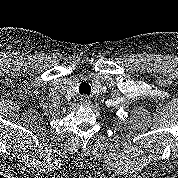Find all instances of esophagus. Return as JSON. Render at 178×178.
<instances>
[{
  "mask_svg": "<svg viewBox=\"0 0 178 178\" xmlns=\"http://www.w3.org/2000/svg\"><path fill=\"white\" fill-rule=\"evenodd\" d=\"M80 103H81L82 105H84V106H88V105H90L91 100H90V98H89L87 95H83V96H81V98H80Z\"/></svg>",
  "mask_w": 178,
  "mask_h": 178,
  "instance_id": "obj_1",
  "label": "esophagus"
}]
</instances>
